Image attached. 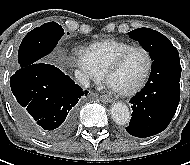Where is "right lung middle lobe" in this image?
<instances>
[{"label": "right lung middle lobe", "instance_id": "obj_1", "mask_svg": "<svg viewBox=\"0 0 190 165\" xmlns=\"http://www.w3.org/2000/svg\"><path fill=\"white\" fill-rule=\"evenodd\" d=\"M64 34L63 28L56 22H48L30 31L22 40L18 51L19 68L41 62Z\"/></svg>", "mask_w": 190, "mask_h": 165}]
</instances>
